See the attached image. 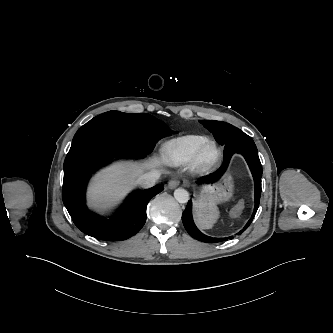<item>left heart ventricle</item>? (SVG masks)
Segmentation results:
<instances>
[{"label": "left heart ventricle", "mask_w": 333, "mask_h": 333, "mask_svg": "<svg viewBox=\"0 0 333 333\" xmlns=\"http://www.w3.org/2000/svg\"><path fill=\"white\" fill-rule=\"evenodd\" d=\"M214 156V151L212 149L208 150L206 153V157L208 159L212 158Z\"/></svg>", "instance_id": "b2bd125f"}]
</instances>
